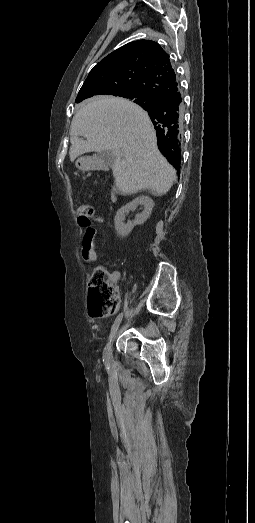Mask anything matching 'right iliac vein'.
Returning a JSON list of instances; mask_svg holds the SVG:
<instances>
[{
	"label": "right iliac vein",
	"mask_w": 255,
	"mask_h": 523,
	"mask_svg": "<svg viewBox=\"0 0 255 523\" xmlns=\"http://www.w3.org/2000/svg\"><path fill=\"white\" fill-rule=\"evenodd\" d=\"M116 335H117V332L114 333L112 341L108 344V357H109V359L112 356V345H113L114 339L116 338Z\"/></svg>",
	"instance_id": "right-iliac-vein-1"
}]
</instances>
